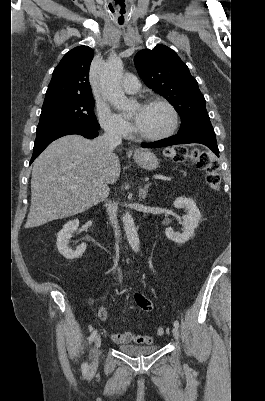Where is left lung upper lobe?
I'll list each match as a JSON object with an SVG mask.
<instances>
[{
    "label": "left lung upper lobe",
    "instance_id": "obj_1",
    "mask_svg": "<svg viewBox=\"0 0 265 401\" xmlns=\"http://www.w3.org/2000/svg\"><path fill=\"white\" fill-rule=\"evenodd\" d=\"M134 63L144 83L165 97L179 113V131L210 121L197 81L172 49L158 44L152 50H141Z\"/></svg>",
    "mask_w": 265,
    "mask_h": 401
}]
</instances>
